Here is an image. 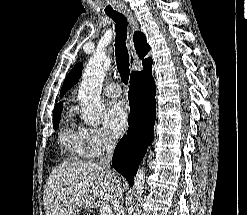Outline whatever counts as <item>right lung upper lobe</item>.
<instances>
[{
  "instance_id": "cb5924a9",
  "label": "right lung upper lobe",
  "mask_w": 247,
  "mask_h": 215,
  "mask_svg": "<svg viewBox=\"0 0 247 215\" xmlns=\"http://www.w3.org/2000/svg\"><path fill=\"white\" fill-rule=\"evenodd\" d=\"M133 39H134L136 52H137L139 58H141V59L144 58V56L150 50V46L147 44L144 34L141 33V32H136L134 34V36H133ZM151 61H152V58L149 57V58L144 59L142 64L144 66V65L148 64ZM62 108H63V104L62 103L56 104L55 108H54V114L61 113Z\"/></svg>"
}]
</instances>
